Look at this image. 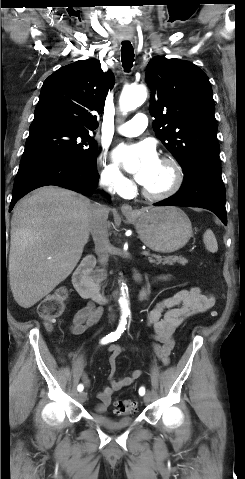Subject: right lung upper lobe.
I'll use <instances>...</instances> for the list:
<instances>
[{"label": "right lung upper lobe", "instance_id": "right-lung-upper-lobe-1", "mask_svg": "<svg viewBox=\"0 0 245 479\" xmlns=\"http://www.w3.org/2000/svg\"><path fill=\"white\" fill-rule=\"evenodd\" d=\"M113 85L112 73H104L98 60L61 67L45 80L30 127L54 124L95 130L98 116L94 113H102Z\"/></svg>", "mask_w": 245, "mask_h": 479}]
</instances>
